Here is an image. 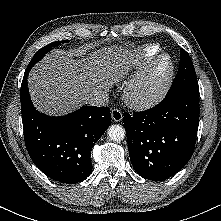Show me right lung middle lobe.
Masks as SVG:
<instances>
[{"instance_id":"dd1d6c3e","label":"right lung middle lobe","mask_w":221,"mask_h":221,"mask_svg":"<svg viewBox=\"0 0 221 221\" xmlns=\"http://www.w3.org/2000/svg\"><path fill=\"white\" fill-rule=\"evenodd\" d=\"M66 41H55L53 43H50L48 45H46L45 47L39 49L36 54L33 56L32 60L29 63V66L33 67L39 60H41L43 58V56H45V54L52 50V48L58 44L61 43H65ZM68 42V41H67Z\"/></svg>"}]
</instances>
